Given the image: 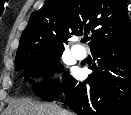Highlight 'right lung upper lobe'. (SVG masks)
<instances>
[{"label":"right lung upper lobe","mask_w":131,"mask_h":115,"mask_svg":"<svg viewBox=\"0 0 131 115\" xmlns=\"http://www.w3.org/2000/svg\"><path fill=\"white\" fill-rule=\"evenodd\" d=\"M92 33L91 53L131 39L124 0H50L24 29L15 62L35 52H63L71 36Z\"/></svg>","instance_id":"cb5924a9"}]
</instances>
